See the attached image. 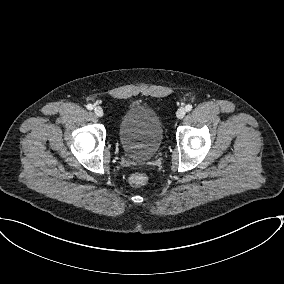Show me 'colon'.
Masks as SVG:
<instances>
[{
    "instance_id": "obj_1",
    "label": "colon",
    "mask_w": 284,
    "mask_h": 284,
    "mask_svg": "<svg viewBox=\"0 0 284 284\" xmlns=\"http://www.w3.org/2000/svg\"><path fill=\"white\" fill-rule=\"evenodd\" d=\"M148 181V176L145 173H135L130 176L129 182L134 187H140L146 184Z\"/></svg>"
}]
</instances>
